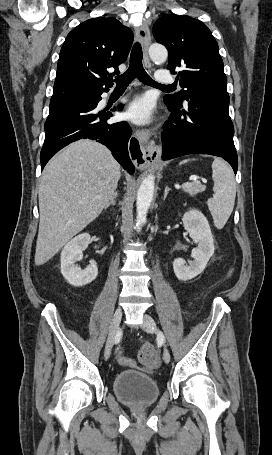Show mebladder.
<instances>
[{
    "mask_svg": "<svg viewBox=\"0 0 272 455\" xmlns=\"http://www.w3.org/2000/svg\"><path fill=\"white\" fill-rule=\"evenodd\" d=\"M112 387L116 397L132 407L151 405L160 394L157 381L152 376L136 370H125L117 374Z\"/></svg>",
    "mask_w": 272,
    "mask_h": 455,
    "instance_id": "31cf9c89",
    "label": "bladder"
}]
</instances>
